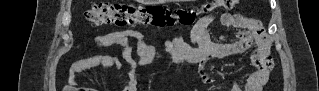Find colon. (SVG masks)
Wrapping results in <instances>:
<instances>
[{"instance_id": "1", "label": "colon", "mask_w": 319, "mask_h": 91, "mask_svg": "<svg viewBox=\"0 0 319 91\" xmlns=\"http://www.w3.org/2000/svg\"><path fill=\"white\" fill-rule=\"evenodd\" d=\"M237 0H218L197 8H166L162 6H135L123 3H97L85 12V19L93 25L114 24L117 26L150 25L153 27L190 26L198 17L216 8H233ZM270 70L273 62L268 48L263 50L257 61Z\"/></svg>"}]
</instances>
